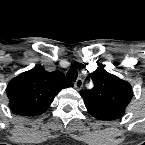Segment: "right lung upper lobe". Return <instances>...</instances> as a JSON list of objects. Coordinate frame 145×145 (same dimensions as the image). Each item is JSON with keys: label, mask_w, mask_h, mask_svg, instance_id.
<instances>
[{"label": "right lung upper lobe", "mask_w": 145, "mask_h": 145, "mask_svg": "<svg viewBox=\"0 0 145 145\" xmlns=\"http://www.w3.org/2000/svg\"><path fill=\"white\" fill-rule=\"evenodd\" d=\"M72 86L62 72H47L42 66H36L12 79L6 91L13 112L36 116L49 108L63 88Z\"/></svg>", "instance_id": "right-lung-upper-lobe-1"}]
</instances>
